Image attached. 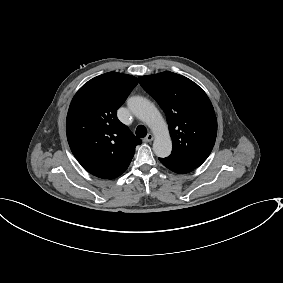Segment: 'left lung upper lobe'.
<instances>
[{"mask_svg": "<svg viewBox=\"0 0 283 283\" xmlns=\"http://www.w3.org/2000/svg\"><path fill=\"white\" fill-rule=\"evenodd\" d=\"M139 81L166 113L173 145L167 159L199 167L217 135L216 115L206 93L190 79L169 71L140 76Z\"/></svg>", "mask_w": 283, "mask_h": 283, "instance_id": "left-lung-upper-lobe-1", "label": "left lung upper lobe"}]
</instances>
